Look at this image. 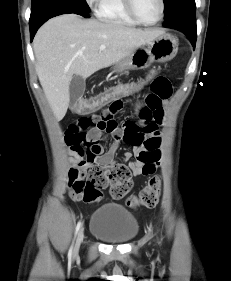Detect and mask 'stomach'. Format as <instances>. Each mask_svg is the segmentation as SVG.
Returning a JSON list of instances; mask_svg holds the SVG:
<instances>
[{"instance_id":"1","label":"stomach","mask_w":231,"mask_h":281,"mask_svg":"<svg viewBox=\"0 0 231 281\" xmlns=\"http://www.w3.org/2000/svg\"><path fill=\"white\" fill-rule=\"evenodd\" d=\"M177 51L176 39L172 35L164 33L123 58L115 68L118 71L145 69L153 62L170 61L175 57Z\"/></svg>"}]
</instances>
